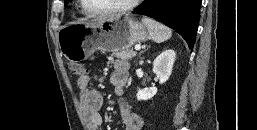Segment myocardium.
<instances>
[{"label":"myocardium","mask_w":257,"mask_h":130,"mask_svg":"<svg viewBox=\"0 0 257 130\" xmlns=\"http://www.w3.org/2000/svg\"><path fill=\"white\" fill-rule=\"evenodd\" d=\"M80 1H81L80 3H81V6H82V9L84 10V12L87 13L88 15H91L94 17H102V16H108V15H112V14L127 12V11H130L133 8H135L138 5V3L140 2V0H130L126 4H123L121 6L114 7V8L108 9V10L93 11L88 7L86 0H80Z\"/></svg>","instance_id":"obj_1"}]
</instances>
